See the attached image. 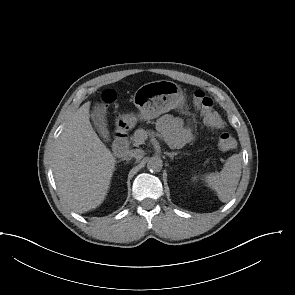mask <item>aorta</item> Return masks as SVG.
<instances>
[{
    "mask_svg": "<svg viewBox=\"0 0 295 295\" xmlns=\"http://www.w3.org/2000/svg\"><path fill=\"white\" fill-rule=\"evenodd\" d=\"M163 162L161 158L153 156L147 162V168L151 172H159L162 169Z\"/></svg>",
    "mask_w": 295,
    "mask_h": 295,
    "instance_id": "obj_1",
    "label": "aorta"
}]
</instances>
